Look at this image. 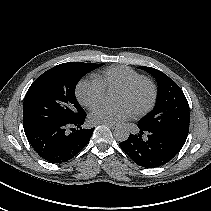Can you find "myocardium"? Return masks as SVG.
I'll return each instance as SVG.
<instances>
[{
	"mask_svg": "<svg viewBox=\"0 0 211 211\" xmlns=\"http://www.w3.org/2000/svg\"><path fill=\"white\" fill-rule=\"evenodd\" d=\"M141 85L149 86L151 90V97H150L149 102L144 107L133 110V113L138 116L145 115L154 108L157 102V97H158V90H157L156 84L151 79L143 77V78L133 80L118 88V90H121L124 92H132Z\"/></svg>",
	"mask_w": 211,
	"mask_h": 211,
	"instance_id": "f54148a6",
	"label": "myocardium"
}]
</instances>
